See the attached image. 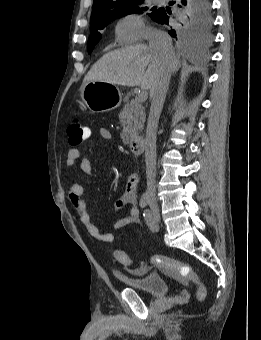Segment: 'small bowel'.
<instances>
[{
	"label": "small bowel",
	"instance_id": "small-bowel-1",
	"mask_svg": "<svg viewBox=\"0 0 261 340\" xmlns=\"http://www.w3.org/2000/svg\"><path fill=\"white\" fill-rule=\"evenodd\" d=\"M99 134L105 140H111L113 138L111 132L104 127L99 129ZM85 135L86 139H88L91 136V129L86 126ZM65 163L68 167H72L76 163H79L80 169L87 176H91L93 173V168L90 160L83 156L80 150L77 148H71L68 150ZM138 180L139 178L136 173H131L128 176L125 190L117 200L116 204L120 208L128 205L130 206V210L127 216L115 221L112 224V229L118 230L139 222V210L136 206L137 204L136 188ZM67 198L71 208L79 218L81 224L86 228L89 235H91L92 237L99 241L106 243H111L114 241L113 233L101 232L97 225L92 221L91 216L87 209L86 201L84 199V189L80 184L75 183L69 188Z\"/></svg>",
	"mask_w": 261,
	"mask_h": 340
}]
</instances>
